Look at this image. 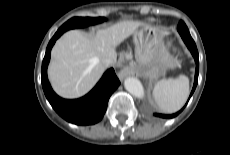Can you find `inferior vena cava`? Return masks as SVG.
<instances>
[{
	"label": "inferior vena cava",
	"instance_id": "602c4592",
	"mask_svg": "<svg viewBox=\"0 0 230 155\" xmlns=\"http://www.w3.org/2000/svg\"><path fill=\"white\" fill-rule=\"evenodd\" d=\"M115 61H116V53L114 52L113 56L111 55L104 59V64L108 66V65L114 64Z\"/></svg>",
	"mask_w": 230,
	"mask_h": 155
}]
</instances>
